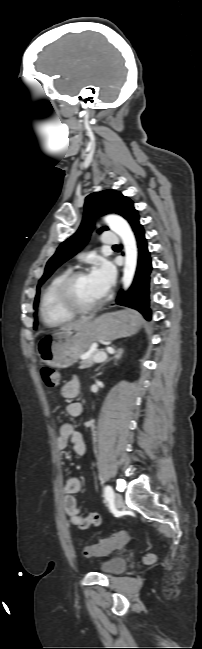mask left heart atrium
Masks as SVG:
<instances>
[{
    "label": "left heart atrium",
    "mask_w": 202,
    "mask_h": 649,
    "mask_svg": "<svg viewBox=\"0 0 202 649\" xmlns=\"http://www.w3.org/2000/svg\"><path fill=\"white\" fill-rule=\"evenodd\" d=\"M115 274L116 271L111 262L98 258L94 261L88 276L94 286L105 295L114 283Z\"/></svg>",
    "instance_id": "39dd6f15"
}]
</instances>
